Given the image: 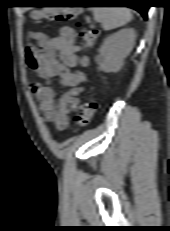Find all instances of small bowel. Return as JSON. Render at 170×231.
<instances>
[{
  "label": "small bowel",
  "instance_id": "obj_1",
  "mask_svg": "<svg viewBox=\"0 0 170 231\" xmlns=\"http://www.w3.org/2000/svg\"><path fill=\"white\" fill-rule=\"evenodd\" d=\"M34 38L38 48H27L26 64L46 84H33L31 90L39 103L44 120L53 123L58 130H63L84 91L82 84L85 74L76 68L87 66L88 58L79 56L82 47L75 44L76 33L69 26L61 27L55 37L35 33ZM55 79H59L67 87V91L58 100L51 85Z\"/></svg>",
  "mask_w": 170,
  "mask_h": 231
}]
</instances>
